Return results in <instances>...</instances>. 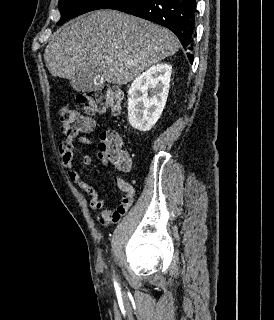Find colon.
<instances>
[{"label": "colon", "instance_id": "colon-1", "mask_svg": "<svg viewBox=\"0 0 274 320\" xmlns=\"http://www.w3.org/2000/svg\"><path fill=\"white\" fill-rule=\"evenodd\" d=\"M117 99L118 92L111 86L90 89L78 95L77 101L82 111L64 106L59 112L64 135L69 137V134H82V130H85V120H92L93 114L115 109L118 105ZM98 152L103 153L119 170L129 167V157L126 156L122 138L116 131L108 130L100 133Z\"/></svg>", "mask_w": 274, "mask_h": 320}]
</instances>
